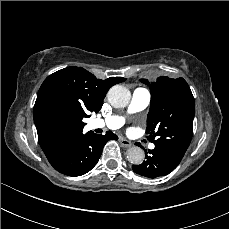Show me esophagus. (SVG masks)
Returning <instances> with one entry per match:
<instances>
[{
    "label": "esophagus",
    "mask_w": 229,
    "mask_h": 229,
    "mask_svg": "<svg viewBox=\"0 0 229 229\" xmlns=\"http://www.w3.org/2000/svg\"><path fill=\"white\" fill-rule=\"evenodd\" d=\"M119 142H120L121 146H123L124 148H129V147L132 146L131 141H129V140L123 138V137H121V138L119 139Z\"/></svg>",
    "instance_id": "obj_1"
}]
</instances>
